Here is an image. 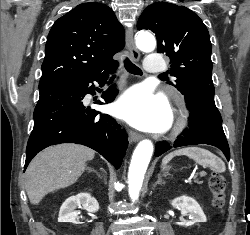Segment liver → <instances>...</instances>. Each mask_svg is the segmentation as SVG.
Wrapping results in <instances>:
<instances>
[{
    "instance_id": "1",
    "label": "liver",
    "mask_w": 250,
    "mask_h": 235,
    "mask_svg": "<svg viewBox=\"0 0 250 235\" xmlns=\"http://www.w3.org/2000/svg\"><path fill=\"white\" fill-rule=\"evenodd\" d=\"M94 156L92 149L77 144H60L40 152L25 173L30 202L37 205L48 193L75 183Z\"/></svg>"
}]
</instances>
